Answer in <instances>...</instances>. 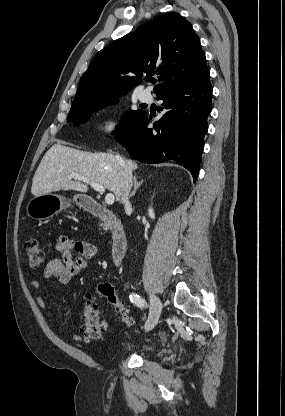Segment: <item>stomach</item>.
<instances>
[{"instance_id": "0dacf381", "label": "stomach", "mask_w": 285, "mask_h": 416, "mask_svg": "<svg viewBox=\"0 0 285 416\" xmlns=\"http://www.w3.org/2000/svg\"><path fill=\"white\" fill-rule=\"evenodd\" d=\"M71 200L66 202V198L63 196H58V194H42V196H34L29 200L26 206L27 216L31 218V220H38V222H42V220H48V218H53V216H57L66 208H70ZM74 202L76 204H80L82 206V198L81 196H74Z\"/></svg>"}]
</instances>
